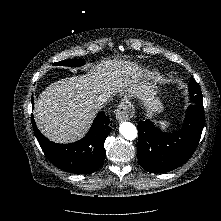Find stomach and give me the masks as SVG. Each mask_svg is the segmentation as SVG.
Listing matches in <instances>:
<instances>
[{
	"instance_id": "1",
	"label": "stomach",
	"mask_w": 221,
	"mask_h": 221,
	"mask_svg": "<svg viewBox=\"0 0 221 221\" xmlns=\"http://www.w3.org/2000/svg\"><path fill=\"white\" fill-rule=\"evenodd\" d=\"M151 110L153 111V113H159L162 110V105L158 100H155Z\"/></svg>"
}]
</instances>
